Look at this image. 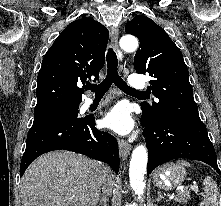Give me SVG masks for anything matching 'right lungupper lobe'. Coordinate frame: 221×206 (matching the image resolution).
Instances as JSON below:
<instances>
[{"mask_svg": "<svg viewBox=\"0 0 221 206\" xmlns=\"http://www.w3.org/2000/svg\"><path fill=\"white\" fill-rule=\"evenodd\" d=\"M108 37L107 28L91 18L70 23L43 58L36 107L80 104L84 90L79 85L98 80Z\"/></svg>", "mask_w": 221, "mask_h": 206, "instance_id": "obj_1", "label": "right lung upper lobe"}]
</instances>
